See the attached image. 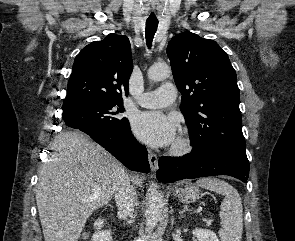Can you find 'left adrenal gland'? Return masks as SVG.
Here are the masks:
<instances>
[{
  "instance_id": "a2214340",
  "label": "left adrenal gland",
  "mask_w": 295,
  "mask_h": 241,
  "mask_svg": "<svg viewBox=\"0 0 295 241\" xmlns=\"http://www.w3.org/2000/svg\"><path fill=\"white\" fill-rule=\"evenodd\" d=\"M186 211H191V210L188 208L187 205H184V206H183V209H182L181 211H179V214H183V213L186 212Z\"/></svg>"
}]
</instances>
